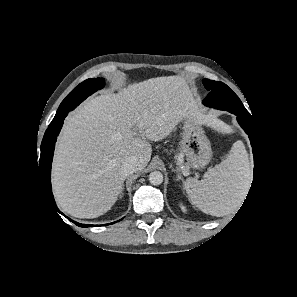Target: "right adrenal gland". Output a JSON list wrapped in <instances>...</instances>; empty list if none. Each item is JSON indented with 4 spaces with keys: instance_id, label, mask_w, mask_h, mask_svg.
Wrapping results in <instances>:
<instances>
[{
    "instance_id": "obj_1",
    "label": "right adrenal gland",
    "mask_w": 297,
    "mask_h": 297,
    "mask_svg": "<svg viewBox=\"0 0 297 297\" xmlns=\"http://www.w3.org/2000/svg\"><path fill=\"white\" fill-rule=\"evenodd\" d=\"M123 189H124V187H122V190L120 192L119 198H121L123 196Z\"/></svg>"
}]
</instances>
